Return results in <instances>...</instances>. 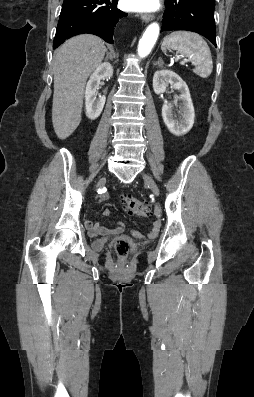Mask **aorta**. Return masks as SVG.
I'll return each instance as SVG.
<instances>
[{"instance_id":"aorta-1","label":"aorta","mask_w":254,"mask_h":397,"mask_svg":"<svg viewBox=\"0 0 254 397\" xmlns=\"http://www.w3.org/2000/svg\"><path fill=\"white\" fill-rule=\"evenodd\" d=\"M159 30L157 23H152L147 27L138 45V55L140 57H145L150 53L158 38Z\"/></svg>"}]
</instances>
